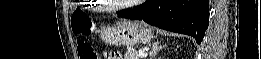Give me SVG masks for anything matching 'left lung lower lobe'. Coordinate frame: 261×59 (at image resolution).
Returning a JSON list of instances; mask_svg holds the SVG:
<instances>
[{
    "mask_svg": "<svg viewBox=\"0 0 261 59\" xmlns=\"http://www.w3.org/2000/svg\"><path fill=\"white\" fill-rule=\"evenodd\" d=\"M208 4L209 0H147L136 8L118 12V16L190 35L200 44L209 24Z\"/></svg>",
    "mask_w": 261,
    "mask_h": 59,
    "instance_id": "obj_1",
    "label": "left lung lower lobe"
}]
</instances>
